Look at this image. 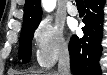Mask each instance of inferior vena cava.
<instances>
[{
  "label": "inferior vena cava",
  "mask_w": 107,
  "mask_h": 75,
  "mask_svg": "<svg viewBox=\"0 0 107 75\" xmlns=\"http://www.w3.org/2000/svg\"><path fill=\"white\" fill-rule=\"evenodd\" d=\"M58 75H71L70 73V54L68 48L65 47L59 56Z\"/></svg>",
  "instance_id": "1"
}]
</instances>
